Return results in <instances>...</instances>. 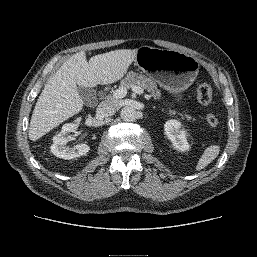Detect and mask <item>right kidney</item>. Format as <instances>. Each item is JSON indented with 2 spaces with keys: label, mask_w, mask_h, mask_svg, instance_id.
I'll list each match as a JSON object with an SVG mask.
<instances>
[{
  "label": "right kidney",
  "mask_w": 257,
  "mask_h": 257,
  "mask_svg": "<svg viewBox=\"0 0 257 257\" xmlns=\"http://www.w3.org/2000/svg\"><path fill=\"white\" fill-rule=\"evenodd\" d=\"M80 118L76 121L80 122ZM78 124L67 123L62 126L61 131L53 137V144L51 145V152L62 159H74L89 152L90 147L87 144L81 143L73 147L67 145L73 139L71 132L77 130Z\"/></svg>",
  "instance_id": "obj_1"
}]
</instances>
